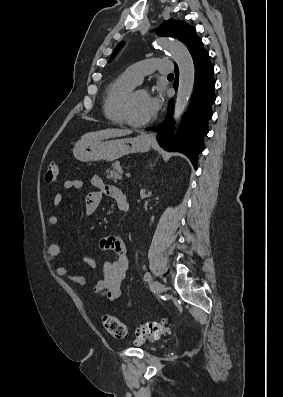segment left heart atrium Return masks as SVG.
Returning a JSON list of instances; mask_svg holds the SVG:
<instances>
[{
  "label": "left heart atrium",
  "instance_id": "left-heart-atrium-1",
  "mask_svg": "<svg viewBox=\"0 0 283 397\" xmlns=\"http://www.w3.org/2000/svg\"><path fill=\"white\" fill-rule=\"evenodd\" d=\"M162 98L160 95L151 96L147 98V110L150 116L155 115L161 107Z\"/></svg>",
  "mask_w": 283,
  "mask_h": 397
}]
</instances>
